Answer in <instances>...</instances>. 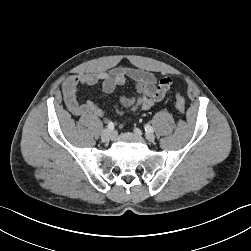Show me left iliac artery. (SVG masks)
<instances>
[{
	"instance_id": "left-iliac-artery-1",
	"label": "left iliac artery",
	"mask_w": 251,
	"mask_h": 251,
	"mask_svg": "<svg viewBox=\"0 0 251 251\" xmlns=\"http://www.w3.org/2000/svg\"><path fill=\"white\" fill-rule=\"evenodd\" d=\"M145 131L146 132H149V133H153L154 132V129L152 126H150L149 124H146L145 125Z\"/></svg>"
}]
</instances>
